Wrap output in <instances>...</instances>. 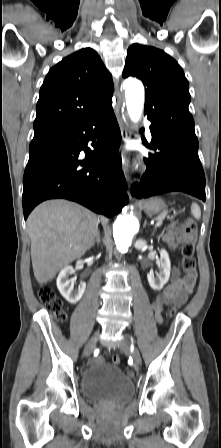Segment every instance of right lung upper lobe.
Instances as JSON below:
<instances>
[{"label": "right lung upper lobe", "mask_w": 221, "mask_h": 448, "mask_svg": "<svg viewBox=\"0 0 221 448\" xmlns=\"http://www.w3.org/2000/svg\"><path fill=\"white\" fill-rule=\"evenodd\" d=\"M112 95V77L93 49L65 57L49 70L41 86L33 139L105 107Z\"/></svg>", "instance_id": "obj_1"}]
</instances>
